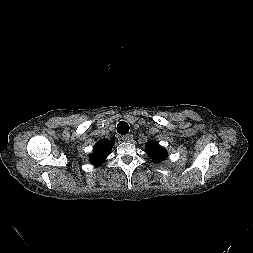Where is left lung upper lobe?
<instances>
[{
	"label": "left lung upper lobe",
	"instance_id": "1",
	"mask_svg": "<svg viewBox=\"0 0 253 253\" xmlns=\"http://www.w3.org/2000/svg\"><path fill=\"white\" fill-rule=\"evenodd\" d=\"M148 155L156 162L163 161L167 157V152L160 147L157 142H150L146 145Z\"/></svg>",
	"mask_w": 253,
	"mask_h": 253
}]
</instances>
